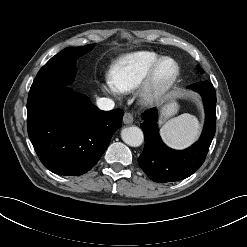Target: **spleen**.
Instances as JSON below:
<instances>
[{
  "label": "spleen",
  "mask_w": 247,
  "mask_h": 247,
  "mask_svg": "<svg viewBox=\"0 0 247 247\" xmlns=\"http://www.w3.org/2000/svg\"><path fill=\"white\" fill-rule=\"evenodd\" d=\"M199 134L198 119L187 113L170 119L161 129L162 140L174 149H184L190 146L197 140Z\"/></svg>",
  "instance_id": "3e777b00"
}]
</instances>
